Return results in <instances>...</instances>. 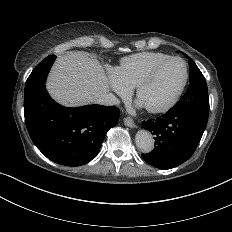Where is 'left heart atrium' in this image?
Instances as JSON below:
<instances>
[{
  "label": "left heart atrium",
  "mask_w": 232,
  "mask_h": 232,
  "mask_svg": "<svg viewBox=\"0 0 232 232\" xmlns=\"http://www.w3.org/2000/svg\"><path fill=\"white\" fill-rule=\"evenodd\" d=\"M137 105H138L139 107L143 108V106H142L141 104H139L138 102H137Z\"/></svg>",
  "instance_id": "left-heart-atrium-1"
}]
</instances>
